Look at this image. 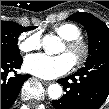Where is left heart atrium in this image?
<instances>
[{
  "mask_svg": "<svg viewBox=\"0 0 109 109\" xmlns=\"http://www.w3.org/2000/svg\"><path fill=\"white\" fill-rule=\"evenodd\" d=\"M24 68L39 78L55 79L67 74L73 68V61L67 54H34L25 58Z\"/></svg>",
  "mask_w": 109,
  "mask_h": 109,
  "instance_id": "obj_1",
  "label": "left heart atrium"
}]
</instances>
